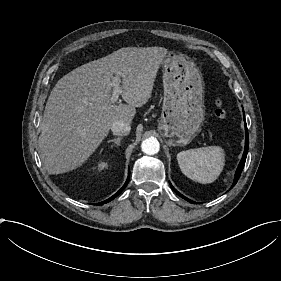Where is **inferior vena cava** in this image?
Listing matches in <instances>:
<instances>
[{"mask_svg":"<svg viewBox=\"0 0 281 281\" xmlns=\"http://www.w3.org/2000/svg\"><path fill=\"white\" fill-rule=\"evenodd\" d=\"M130 130H131L130 123L125 122L123 120H119L111 126V131L115 135H120V136L128 135L130 133Z\"/></svg>","mask_w":281,"mask_h":281,"instance_id":"602c4592","label":"inferior vena cava"}]
</instances>
